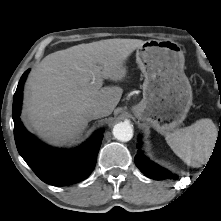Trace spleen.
Instances as JSON below:
<instances>
[{
	"instance_id": "1",
	"label": "spleen",
	"mask_w": 221,
	"mask_h": 221,
	"mask_svg": "<svg viewBox=\"0 0 221 221\" xmlns=\"http://www.w3.org/2000/svg\"><path fill=\"white\" fill-rule=\"evenodd\" d=\"M216 138L217 126L208 118L197 120L188 127L165 134L166 142L173 152L192 167H200L207 163Z\"/></svg>"
}]
</instances>
